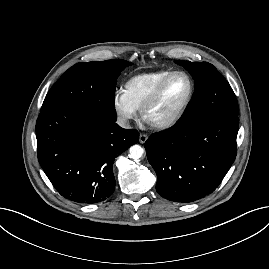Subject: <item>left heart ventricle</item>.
<instances>
[{
  "label": "left heart ventricle",
  "mask_w": 269,
  "mask_h": 269,
  "mask_svg": "<svg viewBox=\"0 0 269 269\" xmlns=\"http://www.w3.org/2000/svg\"><path fill=\"white\" fill-rule=\"evenodd\" d=\"M189 82L183 75L174 76L165 86L158 102L149 111L150 120H160L174 113L185 101Z\"/></svg>",
  "instance_id": "b2bd125f"
}]
</instances>
